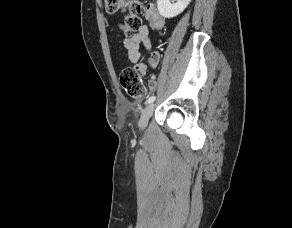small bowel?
Instances as JSON below:
<instances>
[{
    "instance_id": "small-bowel-1",
    "label": "small bowel",
    "mask_w": 292,
    "mask_h": 228,
    "mask_svg": "<svg viewBox=\"0 0 292 228\" xmlns=\"http://www.w3.org/2000/svg\"><path fill=\"white\" fill-rule=\"evenodd\" d=\"M141 45L145 48L146 51L151 50L150 31L149 27L146 25H143L137 32L127 36L124 39V47L127 50L128 59L132 63H136L134 67L141 75H144L147 71L148 66L145 63L138 62L142 54L140 48ZM157 62L158 57L157 55H154L151 62V67H155ZM156 86L157 82L155 78H152L149 83V89L153 91L155 90Z\"/></svg>"
}]
</instances>
